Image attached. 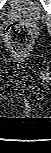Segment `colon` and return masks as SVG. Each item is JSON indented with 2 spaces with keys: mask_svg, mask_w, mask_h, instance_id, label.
<instances>
[{
  "mask_svg": "<svg viewBox=\"0 0 51 153\" xmlns=\"http://www.w3.org/2000/svg\"><path fill=\"white\" fill-rule=\"evenodd\" d=\"M5 39L9 47L18 53L27 50L33 42L29 27L18 21L11 22L6 26Z\"/></svg>",
  "mask_w": 51,
  "mask_h": 153,
  "instance_id": "5ec220e1",
  "label": "colon"
}]
</instances>
